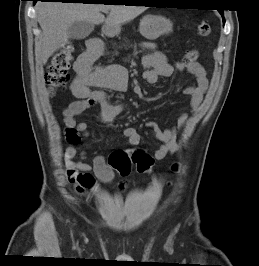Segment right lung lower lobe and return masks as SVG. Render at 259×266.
Instances as JSON below:
<instances>
[{
  "label": "right lung lower lobe",
  "instance_id": "obj_1",
  "mask_svg": "<svg viewBox=\"0 0 259 266\" xmlns=\"http://www.w3.org/2000/svg\"><path fill=\"white\" fill-rule=\"evenodd\" d=\"M33 3L35 4L37 1H61L62 3L66 2V1H71V0H32ZM83 3H86V2H83Z\"/></svg>",
  "mask_w": 259,
  "mask_h": 266
}]
</instances>
